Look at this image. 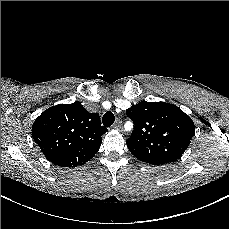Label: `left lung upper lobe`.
<instances>
[{
	"mask_svg": "<svg viewBox=\"0 0 229 229\" xmlns=\"http://www.w3.org/2000/svg\"><path fill=\"white\" fill-rule=\"evenodd\" d=\"M126 114L135 125L127 147L137 159L149 164L178 160L195 133L192 119L175 105L141 101Z\"/></svg>",
	"mask_w": 229,
	"mask_h": 229,
	"instance_id": "5c2ea615",
	"label": "left lung upper lobe"
}]
</instances>
